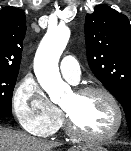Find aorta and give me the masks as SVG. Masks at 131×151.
Returning a JSON list of instances; mask_svg holds the SVG:
<instances>
[{
  "mask_svg": "<svg viewBox=\"0 0 131 151\" xmlns=\"http://www.w3.org/2000/svg\"><path fill=\"white\" fill-rule=\"evenodd\" d=\"M69 36L70 31L66 26L49 29L34 59V71L38 82L54 102L59 101L66 87L59 73L58 62Z\"/></svg>",
  "mask_w": 131,
  "mask_h": 151,
  "instance_id": "762f6f07",
  "label": "aorta"
}]
</instances>
